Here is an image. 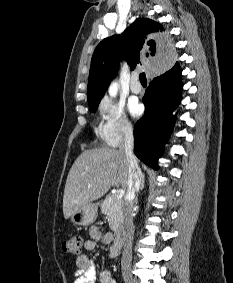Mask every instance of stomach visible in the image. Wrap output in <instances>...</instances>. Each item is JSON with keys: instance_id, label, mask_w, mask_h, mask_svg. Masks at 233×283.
Instances as JSON below:
<instances>
[{"instance_id": "stomach-1", "label": "stomach", "mask_w": 233, "mask_h": 283, "mask_svg": "<svg viewBox=\"0 0 233 283\" xmlns=\"http://www.w3.org/2000/svg\"><path fill=\"white\" fill-rule=\"evenodd\" d=\"M97 215V206L90 203L74 212L70 216V221L74 225H89L96 220Z\"/></svg>"}]
</instances>
